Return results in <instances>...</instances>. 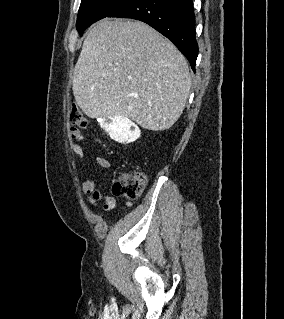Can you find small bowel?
<instances>
[{
	"mask_svg": "<svg viewBox=\"0 0 284 319\" xmlns=\"http://www.w3.org/2000/svg\"><path fill=\"white\" fill-rule=\"evenodd\" d=\"M70 136L72 139L71 149L80 158H84V150L79 144L82 140V134L77 128L70 130ZM97 163L103 168H110V162L104 157H98ZM82 190L86 195V199L91 206L96 207L99 203H102L103 209L107 212L114 209L116 201L115 198L102 193L93 179H87L82 183Z\"/></svg>",
	"mask_w": 284,
	"mask_h": 319,
	"instance_id": "c3829d8e",
	"label": "small bowel"
}]
</instances>
